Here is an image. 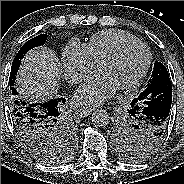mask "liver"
<instances>
[{"mask_svg": "<svg viewBox=\"0 0 184 184\" xmlns=\"http://www.w3.org/2000/svg\"><path fill=\"white\" fill-rule=\"evenodd\" d=\"M59 60L47 47L29 51L21 62L16 78V89L31 102L46 101L57 94Z\"/></svg>", "mask_w": 184, "mask_h": 184, "instance_id": "6515ba94", "label": "liver"}]
</instances>
